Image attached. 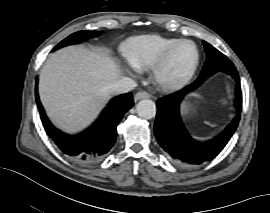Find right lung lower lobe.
Returning a JSON list of instances; mask_svg holds the SVG:
<instances>
[{
	"instance_id": "98d812e1",
	"label": "right lung lower lobe",
	"mask_w": 270,
	"mask_h": 213,
	"mask_svg": "<svg viewBox=\"0 0 270 213\" xmlns=\"http://www.w3.org/2000/svg\"><path fill=\"white\" fill-rule=\"evenodd\" d=\"M35 91L37 106L47 135L64 155L81 164L96 163L108 154L116 141L118 123L134 105L131 93L119 95L112 99L89 129L71 136L61 133L48 120L39 100L37 81Z\"/></svg>"
}]
</instances>
